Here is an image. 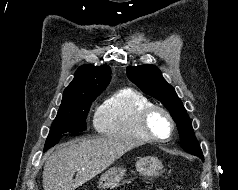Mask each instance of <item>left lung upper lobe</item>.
Segmentation results:
<instances>
[{
  "instance_id": "left-lung-upper-lobe-1",
  "label": "left lung upper lobe",
  "mask_w": 238,
  "mask_h": 190,
  "mask_svg": "<svg viewBox=\"0 0 238 190\" xmlns=\"http://www.w3.org/2000/svg\"><path fill=\"white\" fill-rule=\"evenodd\" d=\"M127 75L144 93L158 99L177 123L181 147L204 159L202 150L194 135L192 123L175 89L166 82L161 71L154 65L129 66Z\"/></svg>"
}]
</instances>
